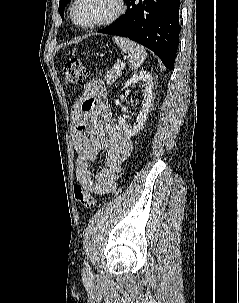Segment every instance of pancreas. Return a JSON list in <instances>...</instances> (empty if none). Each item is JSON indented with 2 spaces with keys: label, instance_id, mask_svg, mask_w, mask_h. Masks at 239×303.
I'll return each mask as SVG.
<instances>
[{
  "label": "pancreas",
  "instance_id": "obj_1",
  "mask_svg": "<svg viewBox=\"0 0 239 303\" xmlns=\"http://www.w3.org/2000/svg\"><path fill=\"white\" fill-rule=\"evenodd\" d=\"M123 70H124V66L120 67L119 69L114 68L107 71L104 74V79L107 82V84L114 83L122 75Z\"/></svg>",
  "mask_w": 239,
  "mask_h": 303
}]
</instances>
